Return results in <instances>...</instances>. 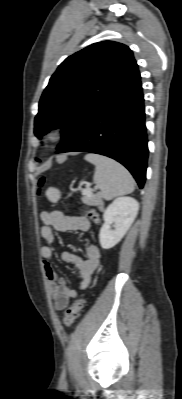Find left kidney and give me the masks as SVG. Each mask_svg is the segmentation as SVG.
<instances>
[{"instance_id": "left-kidney-1", "label": "left kidney", "mask_w": 182, "mask_h": 399, "mask_svg": "<svg viewBox=\"0 0 182 399\" xmlns=\"http://www.w3.org/2000/svg\"><path fill=\"white\" fill-rule=\"evenodd\" d=\"M138 210L139 203L132 197H119L106 208L103 214L104 224L99 233L103 249H110L120 242L134 222Z\"/></svg>"}]
</instances>
